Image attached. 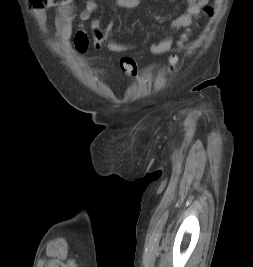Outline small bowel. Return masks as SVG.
<instances>
[{"instance_id":"1","label":"small bowel","mask_w":253,"mask_h":267,"mask_svg":"<svg viewBox=\"0 0 253 267\" xmlns=\"http://www.w3.org/2000/svg\"><path fill=\"white\" fill-rule=\"evenodd\" d=\"M117 7L124 9H137L140 5V0H112ZM186 10L184 13L171 20L168 28L171 30L179 28L191 27L201 15L202 9L206 7L209 0H185ZM84 8L81 11L76 9V0L69 2L57 9L54 25L56 28V38L59 45L67 52L74 51L84 52L89 46V36L85 29V23L89 21L93 14L97 11L98 5L95 0H82ZM46 14L38 13L39 22L44 25L46 22ZM78 20V28L73 32V23ZM99 27L96 20L92 21V28ZM112 37V26L109 25L104 29ZM173 44L171 35H167L163 39L153 42L150 45V50L154 54H162L169 51ZM107 48L110 51L123 53L131 51L135 48L134 45L123 44L111 38Z\"/></svg>"}]
</instances>
